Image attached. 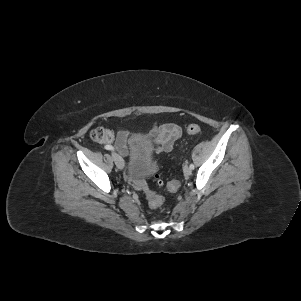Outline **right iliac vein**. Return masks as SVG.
I'll return each mask as SVG.
<instances>
[{"label":"right iliac vein","instance_id":"1","mask_svg":"<svg viewBox=\"0 0 301 301\" xmlns=\"http://www.w3.org/2000/svg\"><path fill=\"white\" fill-rule=\"evenodd\" d=\"M112 155V158L116 164V166L119 168V169H123L124 168V161L122 159V157L120 155H118L117 153H111Z\"/></svg>","mask_w":301,"mask_h":301}]
</instances>
